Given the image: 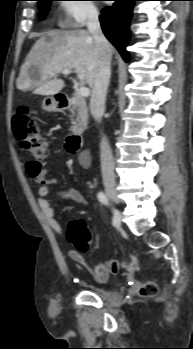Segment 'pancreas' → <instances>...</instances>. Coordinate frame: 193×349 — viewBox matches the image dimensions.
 Listing matches in <instances>:
<instances>
[{
    "label": "pancreas",
    "mask_w": 193,
    "mask_h": 349,
    "mask_svg": "<svg viewBox=\"0 0 193 349\" xmlns=\"http://www.w3.org/2000/svg\"><path fill=\"white\" fill-rule=\"evenodd\" d=\"M72 106L70 107V119L72 121L73 132H83L88 124V108L85 99L75 93L72 97Z\"/></svg>",
    "instance_id": "obj_1"
}]
</instances>
